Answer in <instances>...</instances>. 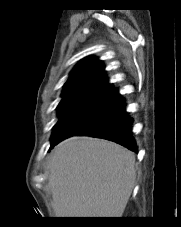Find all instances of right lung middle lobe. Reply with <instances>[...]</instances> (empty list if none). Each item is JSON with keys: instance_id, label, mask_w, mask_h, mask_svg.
<instances>
[{"instance_id": "obj_1", "label": "right lung middle lobe", "mask_w": 181, "mask_h": 227, "mask_svg": "<svg viewBox=\"0 0 181 227\" xmlns=\"http://www.w3.org/2000/svg\"><path fill=\"white\" fill-rule=\"evenodd\" d=\"M113 92H97L64 98L59 103V120L55 125L51 143L57 141L73 124L99 110Z\"/></svg>"}]
</instances>
